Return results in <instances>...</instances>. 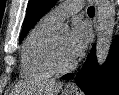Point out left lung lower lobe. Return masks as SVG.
Here are the masks:
<instances>
[{"instance_id":"1","label":"left lung lower lobe","mask_w":119,"mask_h":95,"mask_svg":"<svg viewBox=\"0 0 119 95\" xmlns=\"http://www.w3.org/2000/svg\"><path fill=\"white\" fill-rule=\"evenodd\" d=\"M72 73L63 79H71ZM76 84L87 95H119V39H117L106 63L98 67L95 46H93L83 68L76 79Z\"/></svg>"}]
</instances>
